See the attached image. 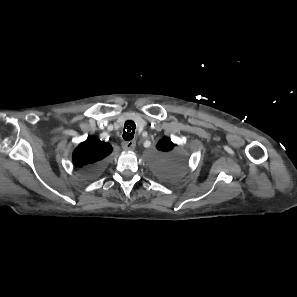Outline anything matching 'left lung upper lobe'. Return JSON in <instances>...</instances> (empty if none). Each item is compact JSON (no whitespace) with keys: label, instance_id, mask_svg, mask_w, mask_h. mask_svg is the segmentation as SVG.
<instances>
[{"label":"left lung upper lobe","instance_id":"5c2ea615","mask_svg":"<svg viewBox=\"0 0 297 297\" xmlns=\"http://www.w3.org/2000/svg\"><path fill=\"white\" fill-rule=\"evenodd\" d=\"M174 144L166 137H163L157 143V149L160 153L155 154L151 157V163L154 169L164 177L172 178L179 165L181 164V159L179 156L171 153Z\"/></svg>","mask_w":297,"mask_h":297}]
</instances>
